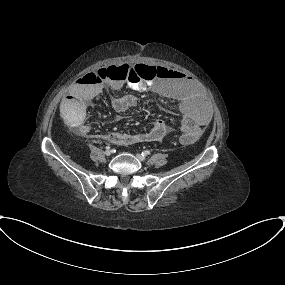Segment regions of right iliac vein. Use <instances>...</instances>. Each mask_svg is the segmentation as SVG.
<instances>
[{
  "label": "right iliac vein",
  "instance_id": "right-iliac-vein-1",
  "mask_svg": "<svg viewBox=\"0 0 285 285\" xmlns=\"http://www.w3.org/2000/svg\"><path fill=\"white\" fill-rule=\"evenodd\" d=\"M111 153H112L111 150H106L105 151V155H107V156L111 155Z\"/></svg>",
  "mask_w": 285,
  "mask_h": 285
}]
</instances>
